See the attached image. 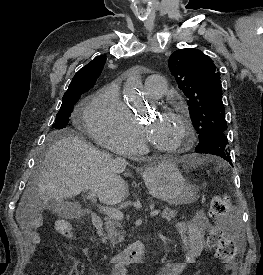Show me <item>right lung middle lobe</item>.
<instances>
[{
	"label": "right lung middle lobe",
	"instance_id": "dd1d6c3e",
	"mask_svg": "<svg viewBox=\"0 0 263 275\" xmlns=\"http://www.w3.org/2000/svg\"><path fill=\"white\" fill-rule=\"evenodd\" d=\"M86 91H88V89H82L64 94L63 102L59 112L56 115V120L53 124V128L63 129L66 127V125L69 122V117L71 116L75 103L78 101L80 95Z\"/></svg>",
	"mask_w": 263,
	"mask_h": 275
}]
</instances>
